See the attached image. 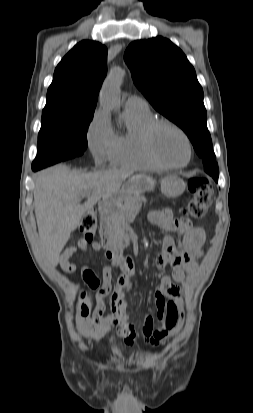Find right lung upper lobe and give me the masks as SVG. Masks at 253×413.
<instances>
[{
	"instance_id": "1",
	"label": "right lung upper lobe",
	"mask_w": 253,
	"mask_h": 413,
	"mask_svg": "<svg viewBox=\"0 0 253 413\" xmlns=\"http://www.w3.org/2000/svg\"><path fill=\"white\" fill-rule=\"evenodd\" d=\"M107 48L84 40L57 65L42 115L93 114L107 72Z\"/></svg>"
}]
</instances>
